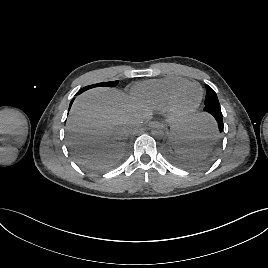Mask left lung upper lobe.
<instances>
[{"label": "left lung upper lobe", "instance_id": "obj_1", "mask_svg": "<svg viewBox=\"0 0 268 268\" xmlns=\"http://www.w3.org/2000/svg\"><path fill=\"white\" fill-rule=\"evenodd\" d=\"M205 106H215L220 107L218 98L214 90L206 85V97H205Z\"/></svg>", "mask_w": 268, "mask_h": 268}]
</instances>
